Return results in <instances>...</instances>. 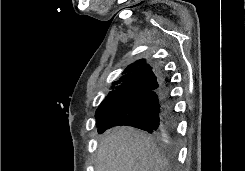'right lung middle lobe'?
Segmentation results:
<instances>
[{"label": "right lung middle lobe", "instance_id": "right-lung-middle-lobe-1", "mask_svg": "<svg viewBox=\"0 0 245 171\" xmlns=\"http://www.w3.org/2000/svg\"><path fill=\"white\" fill-rule=\"evenodd\" d=\"M118 104V102L101 103L96 111V124L99 126L105 116Z\"/></svg>", "mask_w": 245, "mask_h": 171}]
</instances>
